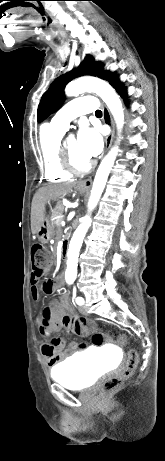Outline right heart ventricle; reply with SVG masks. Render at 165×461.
Instances as JSON below:
<instances>
[{
  "label": "right heart ventricle",
  "instance_id": "1",
  "mask_svg": "<svg viewBox=\"0 0 165 461\" xmlns=\"http://www.w3.org/2000/svg\"><path fill=\"white\" fill-rule=\"evenodd\" d=\"M64 131L51 123L41 127L39 149L43 161L44 177L49 182H62L71 178L60 165L58 147Z\"/></svg>",
  "mask_w": 165,
  "mask_h": 461
}]
</instances>
